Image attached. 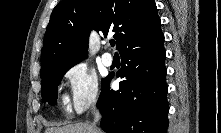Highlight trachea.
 <instances>
[{
	"mask_svg": "<svg viewBox=\"0 0 221 133\" xmlns=\"http://www.w3.org/2000/svg\"><path fill=\"white\" fill-rule=\"evenodd\" d=\"M110 45H111L112 47H114V46H115V41H114V40H111V41H110Z\"/></svg>",
	"mask_w": 221,
	"mask_h": 133,
	"instance_id": "1",
	"label": "trachea"
}]
</instances>
